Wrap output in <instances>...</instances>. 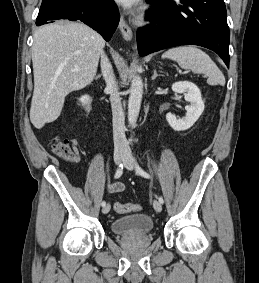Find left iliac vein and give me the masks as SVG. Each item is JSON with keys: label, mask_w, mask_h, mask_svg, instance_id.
Returning a JSON list of instances; mask_svg holds the SVG:
<instances>
[{"label": "left iliac vein", "mask_w": 259, "mask_h": 283, "mask_svg": "<svg viewBox=\"0 0 259 283\" xmlns=\"http://www.w3.org/2000/svg\"><path fill=\"white\" fill-rule=\"evenodd\" d=\"M123 164L125 166L126 169L128 170H133L134 169V165H135V161L131 155V153L129 151H126L123 157ZM153 206L156 212H161L162 211V205L159 201L155 200L153 202Z\"/></svg>", "instance_id": "1"}]
</instances>
